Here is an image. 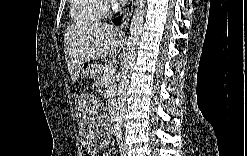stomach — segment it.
<instances>
[{
	"label": "stomach",
	"instance_id": "1",
	"mask_svg": "<svg viewBox=\"0 0 247 156\" xmlns=\"http://www.w3.org/2000/svg\"><path fill=\"white\" fill-rule=\"evenodd\" d=\"M81 73L83 76L91 75L92 78H96L97 75V65H90L87 62L83 63L81 66Z\"/></svg>",
	"mask_w": 247,
	"mask_h": 156
}]
</instances>
